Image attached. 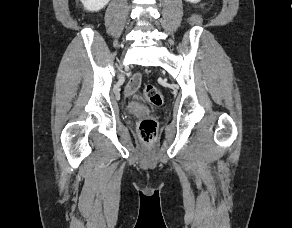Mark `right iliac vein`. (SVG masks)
I'll use <instances>...</instances> for the list:
<instances>
[{
	"label": "right iliac vein",
	"mask_w": 292,
	"mask_h": 228,
	"mask_svg": "<svg viewBox=\"0 0 292 228\" xmlns=\"http://www.w3.org/2000/svg\"><path fill=\"white\" fill-rule=\"evenodd\" d=\"M122 79H123V77H122V76H120V77H119V81H122Z\"/></svg>",
	"instance_id": "obj_1"
}]
</instances>
